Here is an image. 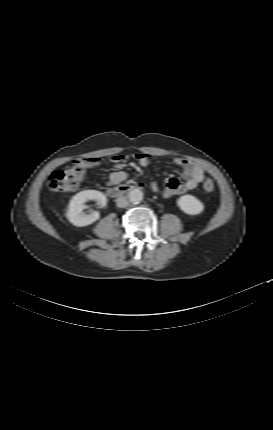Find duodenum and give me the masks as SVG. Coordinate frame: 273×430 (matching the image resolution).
Segmentation results:
<instances>
[{"instance_id":"410a0bca","label":"duodenum","mask_w":273,"mask_h":430,"mask_svg":"<svg viewBox=\"0 0 273 430\" xmlns=\"http://www.w3.org/2000/svg\"><path fill=\"white\" fill-rule=\"evenodd\" d=\"M135 189H136V187L133 186V185H130V184H120V185H117V186L110 187L108 189V194L111 197H119V196L125 195L127 193H130L131 191H133Z\"/></svg>"}]
</instances>
